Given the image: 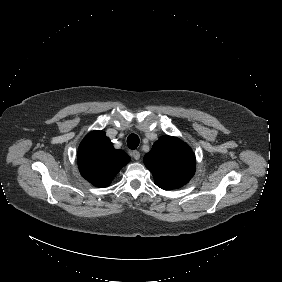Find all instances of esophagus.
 <instances>
[{"label":"esophagus","instance_id":"34e87169","mask_svg":"<svg viewBox=\"0 0 282 282\" xmlns=\"http://www.w3.org/2000/svg\"><path fill=\"white\" fill-rule=\"evenodd\" d=\"M132 155H133V157H134L135 160H139V158H140V153H139V151L134 150V151L132 152Z\"/></svg>","mask_w":282,"mask_h":282}]
</instances>
